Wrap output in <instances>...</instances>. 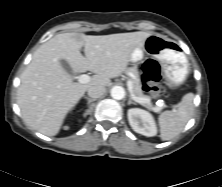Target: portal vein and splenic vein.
I'll return each instance as SVG.
<instances>
[{"mask_svg": "<svg viewBox=\"0 0 222 187\" xmlns=\"http://www.w3.org/2000/svg\"><path fill=\"white\" fill-rule=\"evenodd\" d=\"M78 81H79V83H81V84H86V83H88V82L90 81V76H88L87 74H82V75L79 76ZM127 86H128V90H129V92H130L131 98H132L134 101H136V102H138V103H140V104H141V103H148V104H150V100H149V99L139 98V97H136V96L134 95V93H133V83H132L131 80H128V81H127ZM158 106H159V107H162V106H164V103L161 102Z\"/></svg>", "mask_w": 222, "mask_h": 187, "instance_id": "portal-vein-and-splenic-vein-1", "label": "portal vein and splenic vein"}]
</instances>
